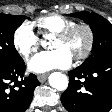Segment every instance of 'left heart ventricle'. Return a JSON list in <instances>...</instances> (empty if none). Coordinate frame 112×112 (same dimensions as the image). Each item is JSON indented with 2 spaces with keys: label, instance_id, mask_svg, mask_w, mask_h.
Listing matches in <instances>:
<instances>
[{
  "label": "left heart ventricle",
  "instance_id": "left-heart-ventricle-1",
  "mask_svg": "<svg viewBox=\"0 0 112 112\" xmlns=\"http://www.w3.org/2000/svg\"><path fill=\"white\" fill-rule=\"evenodd\" d=\"M87 44V35L84 30H77L68 39L61 40L54 38L51 47L52 49H64L72 58L81 53Z\"/></svg>",
  "mask_w": 112,
  "mask_h": 112
}]
</instances>
